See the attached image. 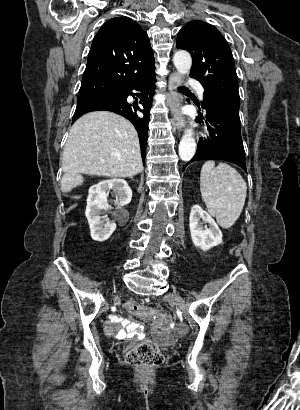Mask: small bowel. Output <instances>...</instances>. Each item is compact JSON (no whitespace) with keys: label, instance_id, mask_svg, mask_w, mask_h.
<instances>
[{"label":"small bowel","instance_id":"1","mask_svg":"<svg viewBox=\"0 0 300 410\" xmlns=\"http://www.w3.org/2000/svg\"><path fill=\"white\" fill-rule=\"evenodd\" d=\"M164 327H157L156 329H162ZM138 329V326L135 323H132L128 320H124L119 317H113L111 323L106 327V332L110 335H133Z\"/></svg>","mask_w":300,"mask_h":410}]
</instances>
